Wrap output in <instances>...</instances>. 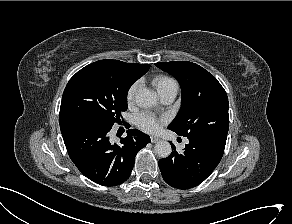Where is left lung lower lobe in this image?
Here are the masks:
<instances>
[{
    "label": "left lung lower lobe",
    "mask_w": 292,
    "mask_h": 224,
    "mask_svg": "<svg viewBox=\"0 0 292 224\" xmlns=\"http://www.w3.org/2000/svg\"><path fill=\"white\" fill-rule=\"evenodd\" d=\"M189 139L184 152L179 154L171 144L173 152L159 160L164 181L172 187L188 189L202 183L219 164L225 145Z\"/></svg>",
    "instance_id": "obj_1"
}]
</instances>
